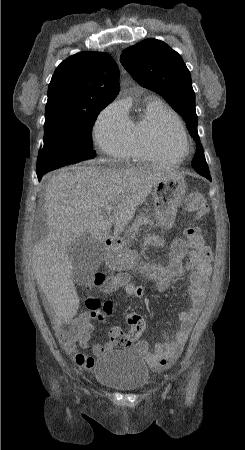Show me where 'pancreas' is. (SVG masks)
Masks as SVG:
<instances>
[{
	"label": "pancreas",
	"mask_w": 245,
	"mask_h": 450,
	"mask_svg": "<svg viewBox=\"0 0 245 450\" xmlns=\"http://www.w3.org/2000/svg\"><path fill=\"white\" fill-rule=\"evenodd\" d=\"M153 225V221L150 220L147 216L141 214L136 216V219H134V222L132 223L131 227L129 228V235L131 238H134L135 234L138 232L139 228L143 225Z\"/></svg>",
	"instance_id": "1"
}]
</instances>
